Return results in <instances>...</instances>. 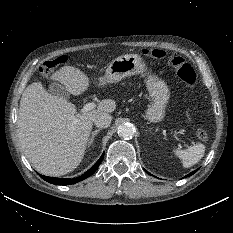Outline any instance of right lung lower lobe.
I'll return each instance as SVG.
<instances>
[{"mask_svg":"<svg viewBox=\"0 0 233 233\" xmlns=\"http://www.w3.org/2000/svg\"><path fill=\"white\" fill-rule=\"evenodd\" d=\"M104 157V153L102 154V156L100 157V159L82 176L74 178V179H66V178H52V177H47V176H43L41 175V177L52 184H56V185H69V184H74L77 183L79 181H82L84 179H86L87 177L91 176L96 169L98 168V166L100 165L102 159Z\"/></svg>","mask_w":233,"mask_h":233,"instance_id":"1","label":"right lung lower lobe"}]
</instances>
